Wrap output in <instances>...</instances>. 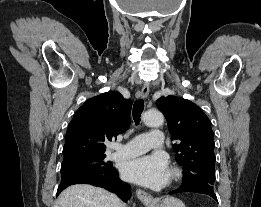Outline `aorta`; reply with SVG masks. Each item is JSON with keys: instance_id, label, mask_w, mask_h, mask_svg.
Returning <instances> with one entry per match:
<instances>
[{"instance_id": "obj_1", "label": "aorta", "mask_w": 261, "mask_h": 207, "mask_svg": "<svg viewBox=\"0 0 261 207\" xmlns=\"http://www.w3.org/2000/svg\"><path fill=\"white\" fill-rule=\"evenodd\" d=\"M143 121L149 127H160L164 123V116L158 110H149L144 113Z\"/></svg>"}]
</instances>
